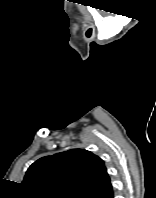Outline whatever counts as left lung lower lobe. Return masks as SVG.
Masks as SVG:
<instances>
[{"mask_svg":"<svg viewBox=\"0 0 156 198\" xmlns=\"http://www.w3.org/2000/svg\"><path fill=\"white\" fill-rule=\"evenodd\" d=\"M113 187L111 185V182L99 193L93 196V198H113Z\"/></svg>","mask_w":156,"mask_h":198,"instance_id":"left-lung-lower-lobe-1","label":"left lung lower lobe"}]
</instances>
